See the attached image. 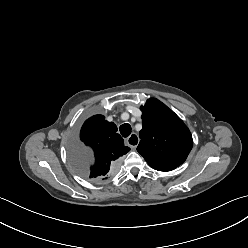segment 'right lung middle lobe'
Here are the masks:
<instances>
[{"instance_id": "obj_1", "label": "right lung middle lobe", "mask_w": 248, "mask_h": 248, "mask_svg": "<svg viewBox=\"0 0 248 248\" xmlns=\"http://www.w3.org/2000/svg\"><path fill=\"white\" fill-rule=\"evenodd\" d=\"M69 156L75 170L86 177V171L91 161L90 152L78 142H73L69 147Z\"/></svg>"}]
</instances>
